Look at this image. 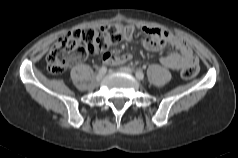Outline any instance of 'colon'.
Returning a JSON list of instances; mask_svg holds the SVG:
<instances>
[{
	"instance_id": "obj_1",
	"label": "colon",
	"mask_w": 238,
	"mask_h": 158,
	"mask_svg": "<svg viewBox=\"0 0 238 158\" xmlns=\"http://www.w3.org/2000/svg\"><path fill=\"white\" fill-rule=\"evenodd\" d=\"M133 30L123 24H111L97 29H77L61 36L47 55V69L53 75L63 73L72 62L82 60L89 54L105 52L112 44L130 38ZM197 65L186 66L181 70L183 79L194 78Z\"/></svg>"
}]
</instances>
